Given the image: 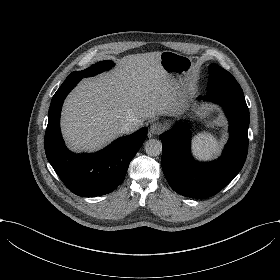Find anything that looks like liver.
<instances>
[{
	"label": "liver",
	"mask_w": 280,
	"mask_h": 280,
	"mask_svg": "<svg viewBox=\"0 0 280 280\" xmlns=\"http://www.w3.org/2000/svg\"><path fill=\"white\" fill-rule=\"evenodd\" d=\"M158 51L128 54L115 67L83 78L66 96L60 130L67 149L96 153L118 138L126 123L177 117L179 103Z\"/></svg>",
	"instance_id": "6515ba94"
}]
</instances>
